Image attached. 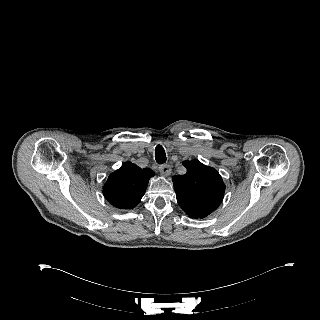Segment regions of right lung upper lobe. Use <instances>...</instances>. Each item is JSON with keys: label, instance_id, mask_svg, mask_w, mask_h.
Wrapping results in <instances>:
<instances>
[{"label": "right lung upper lobe", "instance_id": "right-lung-upper-lobe-1", "mask_svg": "<svg viewBox=\"0 0 320 320\" xmlns=\"http://www.w3.org/2000/svg\"><path fill=\"white\" fill-rule=\"evenodd\" d=\"M154 176L151 169H141L125 162L111 173L103 187L106 200L119 209H132L145 194L149 179Z\"/></svg>", "mask_w": 320, "mask_h": 320}]
</instances>
